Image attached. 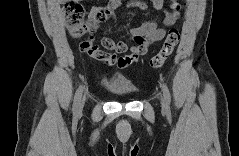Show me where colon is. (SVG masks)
<instances>
[{"label": "colon", "mask_w": 239, "mask_h": 156, "mask_svg": "<svg viewBox=\"0 0 239 156\" xmlns=\"http://www.w3.org/2000/svg\"><path fill=\"white\" fill-rule=\"evenodd\" d=\"M63 15L66 21L68 33L71 37L78 39L89 33L88 39L83 41L80 47L85 52H92L94 29L92 22L86 19L84 6L78 2H68L63 7ZM97 20L99 22L105 20V13L103 11L97 14ZM179 40V30L176 28L171 29L162 45L161 50L151 58L150 66L152 68L161 67L172 54L174 48L179 43Z\"/></svg>", "instance_id": "colon-1"}]
</instances>
